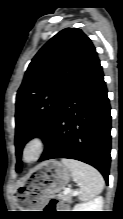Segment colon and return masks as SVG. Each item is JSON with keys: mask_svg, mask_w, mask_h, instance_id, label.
Wrapping results in <instances>:
<instances>
[{"mask_svg": "<svg viewBox=\"0 0 123 219\" xmlns=\"http://www.w3.org/2000/svg\"><path fill=\"white\" fill-rule=\"evenodd\" d=\"M47 207H48V209H50V210H54V209L64 208L65 206H64V204H63L61 201H59V200H57V199H51V200L49 201Z\"/></svg>", "mask_w": 123, "mask_h": 219, "instance_id": "colon-1", "label": "colon"}]
</instances>
